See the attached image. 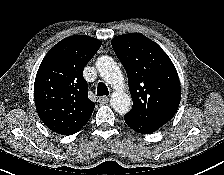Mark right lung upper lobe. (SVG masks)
<instances>
[{
	"label": "right lung upper lobe",
	"mask_w": 224,
	"mask_h": 175,
	"mask_svg": "<svg viewBox=\"0 0 224 175\" xmlns=\"http://www.w3.org/2000/svg\"><path fill=\"white\" fill-rule=\"evenodd\" d=\"M101 44L93 37L70 36L44 57L35 78L34 99L40 119L52 131L71 135L89 121L95 105L88 99L83 69Z\"/></svg>",
	"instance_id": "cb5924a9"
}]
</instances>
